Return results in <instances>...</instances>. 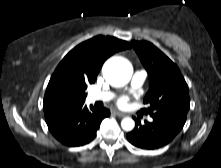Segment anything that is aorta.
Returning a JSON list of instances; mask_svg holds the SVG:
<instances>
[{"label":"aorta","instance_id":"aorta-1","mask_svg":"<svg viewBox=\"0 0 221 168\" xmlns=\"http://www.w3.org/2000/svg\"><path fill=\"white\" fill-rule=\"evenodd\" d=\"M103 76L112 86L121 87L126 85L132 76L133 68L131 63L123 57H112L103 65ZM121 127L124 131H132L135 122L130 117H125L121 121Z\"/></svg>","mask_w":221,"mask_h":168}]
</instances>
